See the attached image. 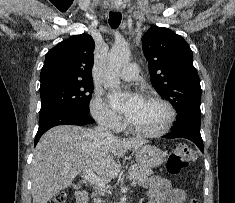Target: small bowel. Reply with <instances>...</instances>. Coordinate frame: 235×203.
Wrapping results in <instances>:
<instances>
[{"label": "small bowel", "mask_w": 235, "mask_h": 203, "mask_svg": "<svg viewBox=\"0 0 235 203\" xmlns=\"http://www.w3.org/2000/svg\"><path fill=\"white\" fill-rule=\"evenodd\" d=\"M149 203H185L182 190L173 188L171 183L161 177H152L147 182Z\"/></svg>", "instance_id": "1"}]
</instances>
